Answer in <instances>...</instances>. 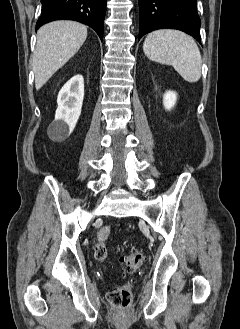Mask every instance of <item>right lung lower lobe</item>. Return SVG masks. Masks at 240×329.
I'll return each mask as SVG.
<instances>
[{
  "mask_svg": "<svg viewBox=\"0 0 240 329\" xmlns=\"http://www.w3.org/2000/svg\"><path fill=\"white\" fill-rule=\"evenodd\" d=\"M42 15L36 29L54 20H74L93 28L103 37L107 0H41Z\"/></svg>",
  "mask_w": 240,
  "mask_h": 329,
  "instance_id": "obj_1",
  "label": "right lung lower lobe"
}]
</instances>
